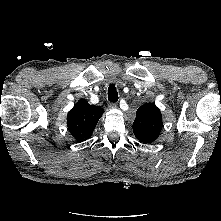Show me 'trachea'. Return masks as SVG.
Here are the masks:
<instances>
[{"instance_id": "trachea-1", "label": "trachea", "mask_w": 221, "mask_h": 221, "mask_svg": "<svg viewBox=\"0 0 221 221\" xmlns=\"http://www.w3.org/2000/svg\"><path fill=\"white\" fill-rule=\"evenodd\" d=\"M108 99L111 102L118 101V92L114 84H111L108 88Z\"/></svg>"}]
</instances>
